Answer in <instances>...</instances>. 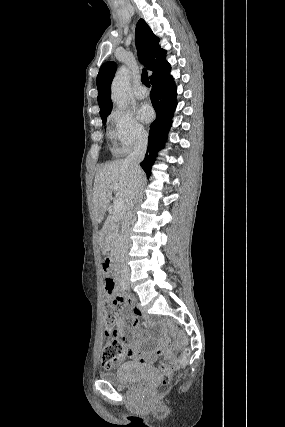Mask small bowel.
I'll use <instances>...</instances> for the list:
<instances>
[{
	"mask_svg": "<svg viewBox=\"0 0 285 427\" xmlns=\"http://www.w3.org/2000/svg\"><path fill=\"white\" fill-rule=\"evenodd\" d=\"M120 297H123V292L119 291ZM128 304L124 303L123 310L119 313L117 320H116V326L118 330V335L125 339L128 342H131L135 338V331L138 329L141 316L139 314H135L133 316H130L127 312ZM130 319L131 323L128 324L127 320ZM143 342L140 340L135 341V346L131 349V352L129 354H124L122 357L119 358V362L124 361L126 359L134 360L141 364H148L149 357L156 354L158 352L157 349H141L140 346ZM185 344L184 339H179L177 341L178 346H182ZM171 369H175L177 367L176 360L170 361Z\"/></svg>",
	"mask_w": 285,
	"mask_h": 427,
	"instance_id": "obj_1",
	"label": "small bowel"
}]
</instances>
